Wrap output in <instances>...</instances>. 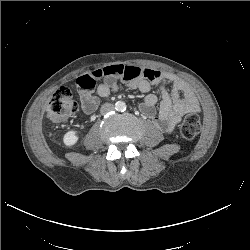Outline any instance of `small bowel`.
Returning <instances> with one entry per match:
<instances>
[{
    "instance_id": "small-bowel-1",
    "label": "small bowel",
    "mask_w": 250,
    "mask_h": 250,
    "mask_svg": "<svg viewBox=\"0 0 250 250\" xmlns=\"http://www.w3.org/2000/svg\"><path fill=\"white\" fill-rule=\"evenodd\" d=\"M119 82H123L129 90L142 93H148L152 85H159L161 101L158 112V97L152 93L145 97L140 109L162 132H171L185 114L200 111L195 93L176 75L152 68L118 64L95 69L77 79L82 112L92 114L99 105L98 96L107 97L117 92ZM168 83H172V89L168 88ZM95 89L98 96L94 94Z\"/></svg>"
}]
</instances>
